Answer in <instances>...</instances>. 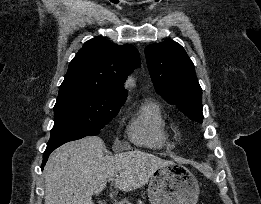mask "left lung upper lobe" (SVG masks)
Instances as JSON below:
<instances>
[{
	"mask_svg": "<svg viewBox=\"0 0 261 204\" xmlns=\"http://www.w3.org/2000/svg\"><path fill=\"white\" fill-rule=\"evenodd\" d=\"M146 61L155 90L193 121L201 123L202 89L194 64L183 47L172 40L145 48Z\"/></svg>",
	"mask_w": 261,
	"mask_h": 204,
	"instance_id": "5c2ea615",
	"label": "left lung upper lobe"
}]
</instances>
